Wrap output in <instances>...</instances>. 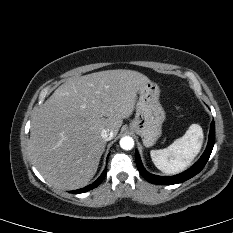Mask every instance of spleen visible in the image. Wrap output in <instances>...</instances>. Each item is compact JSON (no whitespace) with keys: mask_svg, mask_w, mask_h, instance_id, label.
<instances>
[{"mask_svg":"<svg viewBox=\"0 0 233 233\" xmlns=\"http://www.w3.org/2000/svg\"><path fill=\"white\" fill-rule=\"evenodd\" d=\"M203 131L200 125L192 124L186 133L165 149L151 150L154 165L166 174H175L189 166L200 152Z\"/></svg>","mask_w":233,"mask_h":233,"instance_id":"1","label":"spleen"}]
</instances>
